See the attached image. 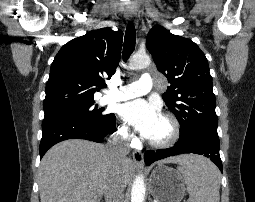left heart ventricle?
Listing matches in <instances>:
<instances>
[{"mask_svg":"<svg viewBox=\"0 0 255 202\" xmlns=\"http://www.w3.org/2000/svg\"><path fill=\"white\" fill-rule=\"evenodd\" d=\"M169 133V124L162 117H160L148 138L153 140H162L167 138Z\"/></svg>","mask_w":255,"mask_h":202,"instance_id":"left-heart-ventricle-1","label":"left heart ventricle"}]
</instances>
